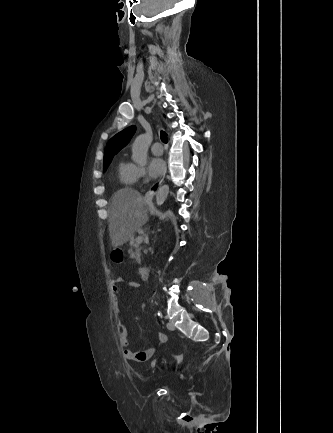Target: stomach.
Here are the masks:
<instances>
[{"instance_id": "0dacf381", "label": "stomach", "mask_w": 333, "mask_h": 433, "mask_svg": "<svg viewBox=\"0 0 333 433\" xmlns=\"http://www.w3.org/2000/svg\"><path fill=\"white\" fill-rule=\"evenodd\" d=\"M150 202H151V200H148V199L144 200V203L147 204V205L150 204Z\"/></svg>"}]
</instances>
